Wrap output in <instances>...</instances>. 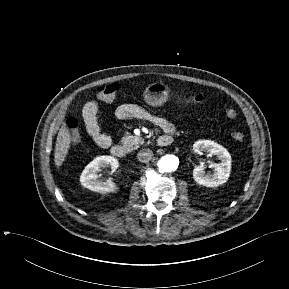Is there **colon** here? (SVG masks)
I'll list each match as a JSON object with an SVG mask.
<instances>
[{
    "label": "colon",
    "mask_w": 289,
    "mask_h": 289,
    "mask_svg": "<svg viewBox=\"0 0 289 289\" xmlns=\"http://www.w3.org/2000/svg\"><path fill=\"white\" fill-rule=\"evenodd\" d=\"M119 89L120 85L118 83L106 84L97 89V96L100 100L109 102L115 99ZM189 101L194 103H202L204 101V96L202 94H194L189 97ZM226 116L230 119H234L237 116V112L234 109L229 108L226 110ZM67 126L71 131V139L73 145L80 143L82 140V134L80 131L79 119L77 117L68 118ZM232 137L236 141H242L244 135L239 131H234L232 133Z\"/></svg>",
    "instance_id": "5ec220e1"
}]
</instances>
